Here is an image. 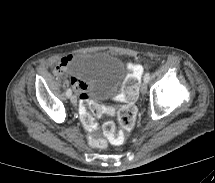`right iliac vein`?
<instances>
[{"label":"right iliac vein","mask_w":215,"mask_h":183,"mask_svg":"<svg viewBox=\"0 0 215 183\" xmlns=\"http://www.w3.org/2000/svg\"><path fill=\"white\" fill-rule=\"evenodd\" d=\"M70 100H71V103H72L73 105H76V104H77V97H76L75 95H72L71 98H70Z\"/></svg>","instance_id":"63e3f726"}]
</instances>
